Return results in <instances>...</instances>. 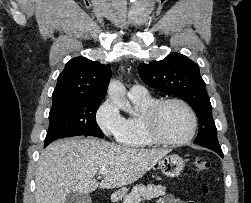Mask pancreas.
I'll return each mask as SVG.
<instances>
[{
  "label": "pancreas",
  "mask_w": 251,
  "mask_h": 203,
  "mask_svg": "<svg viewBox=\"0 0 251 203\" xmlns=\"http://www.w3.org/2000/svg\"><path fill=\"white\" fill-rule=\"evenodd\" d=\"M166 188L161 185L140 184L132 188L131 192L123 197V203H139L140 201L151 200L165 194Z\"/></svg>",
  "instance_id": "1"
}]
</instances>
